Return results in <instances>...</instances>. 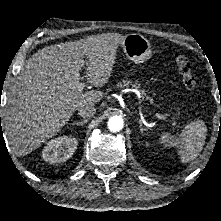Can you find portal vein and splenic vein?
Returning a JSON list of instances; mask_svg holds the SVG:
<instances>
[{
  "mask_svg": "<svg viewBox=\"0 0 221 221\" xmlns=\"http://www.w3.org/2000/svg\"><path fill=\"white\" fill-rule=\"evenodd\" d=\"M81 62L84 63V60H82ZM84 87H85V83L84 82H80L78 84V86H77L79 91H82L84 89ZM155 115L159 119H163V120L167 119V117L165 115H163V114L156 113Z\"/></svg>",
  "mask_w": 221,
  "mask_h": 221,
  "instance_id": "18ae733b",
  "label": "portal vein and splenic vein"
}]
</instances>
